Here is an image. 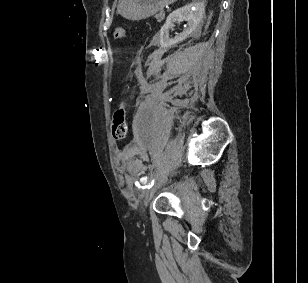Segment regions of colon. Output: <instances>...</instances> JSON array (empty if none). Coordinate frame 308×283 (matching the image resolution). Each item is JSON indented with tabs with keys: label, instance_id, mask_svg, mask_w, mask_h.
I'll return each mask as SVG.
<instances>
[{
	"label": "colon",
	"instance_id": "5ec220e1",
	"mask_svg": "<svg viewBox=\"0 0 308 283\" xmlns=\"http://www.w3.org/2000/svg\"><path fill=\"white\" fill-rule=\"evenodd\" d=\"M126 36V30L122 27H118L113 31V38L115 40L123 39ZM112 137L116 141L123 140L127 135V113L126 107L122 103L114 111L111 121Z\"/></svg>",
	"mask_w": 308,
	"mask_h": 283
}]
</instances>
